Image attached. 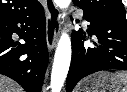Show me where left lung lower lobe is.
Instances as JSON below:
<instances>
[{
  "instance_id": "1",
  "label": "left lung lower lobe",
  "mask_w": 127,
  "mask_h": 92,
  "mask_svg": "<svg viewBox=\"0 0 127 92\" xmlns=\"http://www.w3.org/2000/svg\"><path fill=\"white\" fill-rule=\"evenodd\" d=\"M87 34L92 45H84L86 33L82 29L72 34V60L66 89L71 92L85 76L108 70H127V20L106 17L84 11Z\"/></svg>"
}]
</instances>
